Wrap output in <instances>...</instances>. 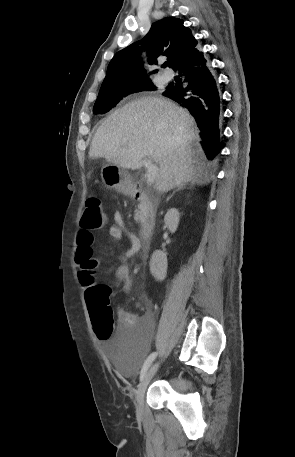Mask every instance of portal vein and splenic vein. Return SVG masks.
Instances as JSON below:
<instances>
[{
	"mask_svg": "<svg viewBox=\"0 0 295 457\" xmlns=\"http://www.w3.org/2000/svg\"><path fill=\"white\" fill-rule=\"evenodd\" d=\"M143 165L146 168V178H147V184L151 185L157 174H158V166L156 164H153L151 160L149 159H144L142 161Z\"/></svg>",
	"mask_w": 295,
	"mask_h": 457,
	"instance_id": "portal-vein-and-splenic-vein-1",
	"label": "portal vein and splenic vein"
}]
</instances>
